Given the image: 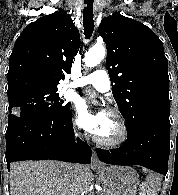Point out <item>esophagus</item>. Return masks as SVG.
<instances>
[{
	"instance_id": "obj_1",
	"label": "esophagus",
	"mask_w": 178,
	"mask_h": 195,
	"mask_svg": "<svg viewBox=\"0 0 178 195\" xmlns=\"http://www.w3.org/2000/svg\"><path fill=\"white\" fill-rule=\"evenodd\" d=\"M91 166H94V167L103 166L102 162L98 159L96 152L94 150L92 151Z\"/></svg>"
}]
</instances>
